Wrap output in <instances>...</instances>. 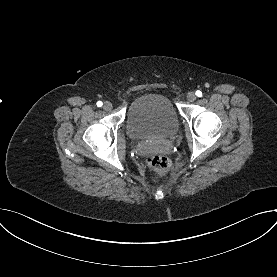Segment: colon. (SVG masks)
<instances>
[{"mask_svg":"<svg viewBox=\"0 0 277 277\" xmlns=\"http://www.w3.org/2000/svg\"><path fill=\"white\" fill-rule=\"evenodd\" d=\"M148 166L154 171L156 176H160L169 171L171 167L170 160L161 154H151L147 157Z\"/></svg>","mask_w":277,"mask_h":277,"instance_id":"1","label":"colon"}]
</instances>
